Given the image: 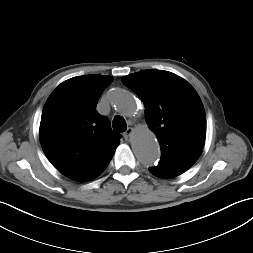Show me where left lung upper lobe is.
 I'll use <instances>...</instances> for the list:
<instances>
[{
    "label": "left lung upper lobe",
    "mask_w": 253,
    "mask_h": 253,
    "mask_svg": "<svg viewBox=\"0 0 253 253\" xmlns=\"http://www.w3.org/2000/svg\"><path fill=\"white\" fill-rule=\"evenodd\" d=\"M145 105V119L161 146L158 165L189 169L200 156L206 116L194 88L174 73L143 70L122 77Z\"/></svg>",
    "instance_id": "5c2ea615"
}]
</instances>
